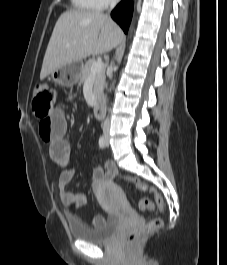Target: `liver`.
<instances>
[{"mask_svg": "<svg viewBox=\"0 0 227 265\" xmlns=\"http://www.w3.org/2000/svg\"><path fill=\"white\" fill-rule=\"evenodd\" d=\"M123 36V31L112 19L98 12L62 13L48 43L40 79L69 63L111 51Z\"/></svg>", "mask_w": 227, "mask_h": 265, "instance_id": "liver-1", "label": "liver"}]
</instances>
